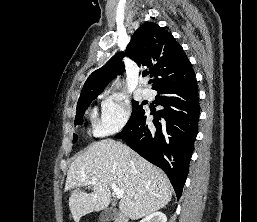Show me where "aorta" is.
Returning a JSON list of instances; mask_svg holds the SVG:
<instances>
[{"label":"aorta","instance_id":"obj_1","mask_svg":"<svg viewBox=\"0 0 257 222\" xmlns=\"http://www.w3.org/2000/svg\"><path fill=\"white\" fill-rule=\"evenodd\" d=\"M114 85L115 87H119V82L118 81L114 82Z\"/></svg>","mask_w":257,"mask_h":222}]
</instances>
